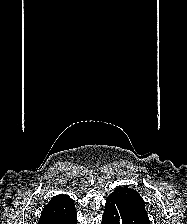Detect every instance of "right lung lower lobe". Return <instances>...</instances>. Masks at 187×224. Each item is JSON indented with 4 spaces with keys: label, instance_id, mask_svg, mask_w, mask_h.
<instances>
[{
    "label": "right lung lower lobe",
    "instance_id": "98d812e1",
    "mask_svg": "<svg viewBox=\"0 0 187 224\" xmlns=\"http://www.w3.org/2000/svg\"><path fill=\"white\" fill-rule=\"evenodd\" d=\"M56 224H77L76 210H74L69 217L57 222Z\"/></svg>",
    "mask_w": 187,
    "mask_h": 224
}]
</instances>
